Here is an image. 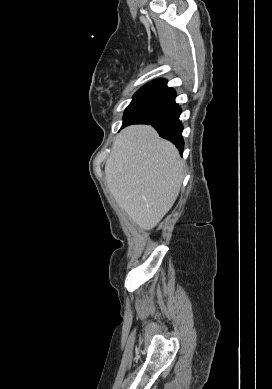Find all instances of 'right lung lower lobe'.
<instances>
[{"mask_svg":"<svg viewBox=\"0 0 272 389\" xmlns=\"http://www.w3.org/2000/svg\"><path fill=\"white\" fill-rule=\"evenodd\" d=\"M176 93L172 88L162 87L152 94L123 119L122 128L132 124L152 125L160 137L171 141L183 153V126L179 121L181 108L175 103Z\"/></svg>","mask_w":272,"mask_h":389,"instance_id":"right-lung-lower-lobe-1","label":"right lung lower lobe"}]
</instances>
